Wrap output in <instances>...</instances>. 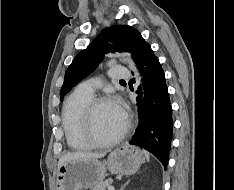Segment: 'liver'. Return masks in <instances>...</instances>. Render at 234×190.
Listing matches in <instances>:
<instances>
[{
  "instance_id": "obj_1",
  "label": "liver",
  "mask_w": 234,
  "mask_h": 190,
  "mask_svg": "<svg viewBox=\"0 0 234 190\" xmlns=\"http://www.w3.org/2000/svg\"><path fill=\"white\" fill-rule=\"evenodd\" d=\"M106 153H91V152H71L63 155L58 162V168L67 161L77 160V159H98L102 158Z\"/></svg>"
}]
</instances>
